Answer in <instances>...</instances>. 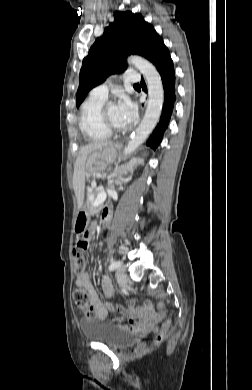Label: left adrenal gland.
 Listing matches in <instances>:
<instances>
[{
    "mask_svg": "<svg viewBox=\"0 0 252 390\" xmlns=\"http://www.w3.org/2000/svg\"><path fill=\"white\" fill-rule=\"evenodd\" d=\"M139 159H136L132 165V168H129V173H130V176H128L127 178H119L117 181H116V184H120L121 182H128L129 180H131L132 178V173H133V167H135L138 163H139ZM112 185V184H111Z\"/></svg>",
    "mask_w": 252,
    "mask_h": 390,
    "instance_id": "1",
    "label": "left adrenal gland"
}]
</instances>
